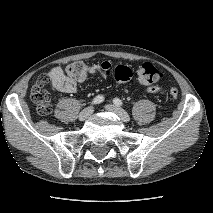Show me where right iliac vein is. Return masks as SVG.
Returning <instances> with one entry per match:
<instances>
[{
	"label": "right iliac vein",
	"mask_w": 213,
	"mask_h": 213,
	"mask_svg": "<svg viewBox=\"0 0 213 213\" xmlns=\"http://www.w3.org/2000/svg\"><path fill=\"white\" fill-rule=\"evenodd\" d=\"M93 113L92 107L85 108L82 110L79 114V120L80 121H85L86 119L89 118V116Z\"/></svg>",
	"instance_id": "1"
}]
</instances>
